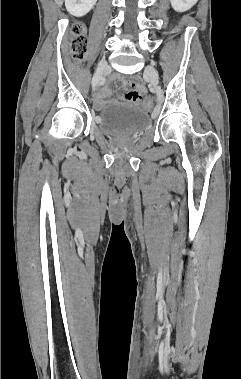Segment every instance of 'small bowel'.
<instances>
[{"mask_svg": "<svg viewBox=\"0 0 241 379\" xmlns=\"http://www.w3.org/2000/svg\"><path fill=\"white\" fill-rule=\"evenodd\" d=\"M122 87L124 93L122 98L130 103H141L142 98H144V92L142 90H135L137 84L134 81L126 82L122 80ZM110 95V89L108 84L102 87L95 95L94 106L97 110L103 108L106 104V98Z\"/></svg>", "mask_w": 241, "mask_h": 379, "instance_id": "c3829d8e", "label": "small bowel"}]
</instances>
